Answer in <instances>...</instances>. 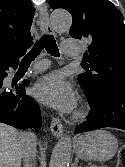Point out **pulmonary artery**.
Here are the masks:
<instances>
[{
    "label": "pulmonary artery",
    "mask_w": 125,
    "mask_h": 167,
    "mask_svg": "<svg viewBox=\"0 0 125 167\" xmlns=\"http://www.w3.org/2000/svg\"><path fill=\"white\" fill-rule=\"evenodd\" d=\"M63 54L70 58H76L79 55L78 43L75 39H68L61 44ZM47 68L45 61L38 62L34 69L36 72H42Z\"/></svg>",
    "instance_id": "pulmonary-artery-1"
}]
</instances>
